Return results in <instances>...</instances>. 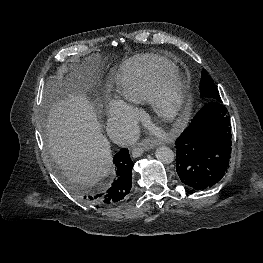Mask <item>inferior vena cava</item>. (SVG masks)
Segmentation results:
<instances>
[{"instance_id":"inferior-vena-cava-1","label":"inferior vena cava","mask_w":263,"mask_h":263,"mask_svg":"<svg viewBox=\"0 0 263 263\" xmlns=\"http://www.w3.org/2000/svg\"><path fill=\"white\" fill-rule=\"evenodd\" d=\"M107 133L110 139L120 146H129L136 141L132 124L126 121L119 120L108 123Z\"/></svg>"}]
</instances>
